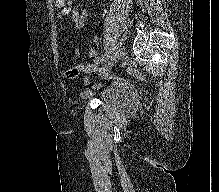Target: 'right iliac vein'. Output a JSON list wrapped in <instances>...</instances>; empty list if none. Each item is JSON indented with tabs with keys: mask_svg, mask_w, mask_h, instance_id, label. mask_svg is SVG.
Segmentation results:
<instances>
[{
	"mask_svg": "<svg viewBox=\"0 0 219 192\" xmlns=\"http://www.w3.org/2000/svg\"><path fill=\"white\" fill-rule=\"evenodd\" d=\"M119 58H120V51L117 50L114 52V54L106 61L104 66L101 68V73L103 74L107 72L108 70H110Z\"/></svg>",
	"mask_w": 219,
	"mask_h": 192,
	"instance_id": "63e3f726",
	"label": "right iliac vein"
}]
</instances>
